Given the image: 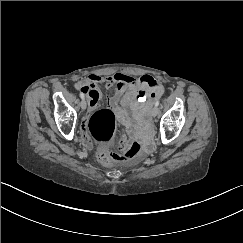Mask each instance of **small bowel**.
I'll return each mask as SVG.
<instances>
[{
    "label": "small bowel",
    "mask_w": 243,
    "mask_h": 243,
    "mask_svg": "<svg viewBox=\"0 0 243 243\" xmlns=\"http://www.w3.org/2000/svg\"><path fill=\"white\" fill-rule=\"evenodd\" d=\"M104 83L107 88L117 84L114 95L109 99V107L113 110L118 120L126 126H132L133 122L128 114V108L134 117L139 119L145 109L152 105L164 93V87L152 76L143 75L135 79L129 75L117 73L112 76L102 77L91 74L83 81L75 84V88L85 94L89 100L90 111L98 106L100 98L99 84ZM88 116L83 121L84 144L91 146L87 134Z\"/></svg>",
    "instance_id": "1"
}]
</instances>
